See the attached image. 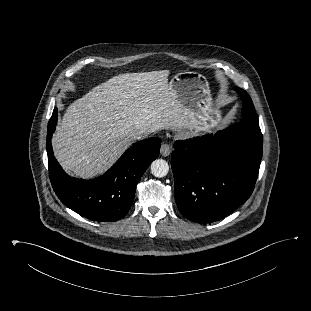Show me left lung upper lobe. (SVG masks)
<instances>
[{
  "label": "left lung upper lobe",
  "mask_w": 311,
  "mask_h": 311,
  "mask_svg": "<svg viewBox=\"0 0 311 311\" xmlns=\"http://www.w3.org/2000/svg\"><path fill=\"white\" fill-rule=\"evenodd\" d=\"M235 89L240 94L242 101H243L244 118L247 120L259 123L255 108L253 106V103H252V100H251L249 94L243 89H240L237 87Z\"/></svg>",
  "instance_id": "obj_1"
}]
</instances>
